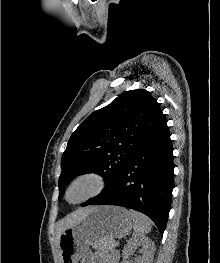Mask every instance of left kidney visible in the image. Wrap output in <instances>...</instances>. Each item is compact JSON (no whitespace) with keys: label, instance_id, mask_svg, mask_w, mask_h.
Wrapping results in <instances>:
<instances>
[{"label":"left kidney","instance_id":"1","mask_svg":"<svg viewBox=\"0 0 220 263\" xmlns=\"http://www.w3.org/2000/svg\"><path fill=\"white\" fill-rule=\"evenodd\" d=\"M138 246L142 247V256L138 257L136 262L151 263L155 252V244L146 236H134L131 238L123 250V259H127Z\"/></svg>","mask_w":220,"mask_h":263}]
</instances>
